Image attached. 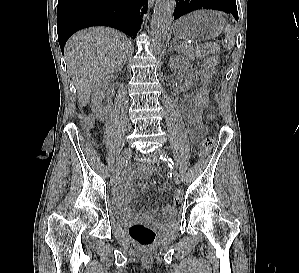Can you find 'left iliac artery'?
<instances>
[{
	"mask_svg": "<svg viewBox=\"0 0 299 273\" xmlns=\"http://www.w3.org/2000/svg\"><path fill=\"white\" fill-rule=\"evenodd\" d=\"M160 159H163L164 161H166L171 168H173V166L175 165L174 161L171 158H169V156H167V155H165V156L161 155Z\"/></svg>",
	"mask_w": 299,
	"mask_h": 273,
	"instance_id": "44dca946",
	"label": "left iliac artery"
}]
</instances>
